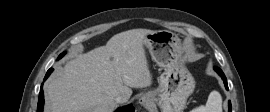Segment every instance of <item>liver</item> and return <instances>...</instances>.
<instances>
[{
	"label": "liver",
	"instance_id": "6515ba94",
	"mask_svg": "<svg viewBox=\"0 0 270 112\" xmlns=\"http://www.w3.org/2000/svg\"><path fill=\"white\" fill-rule=\"evenodd\" d=\"M151 32L124 31L105 46L76 55L46 85V112H113L117 95L128 101L131 88L151 86L144 49Z\"/></svg>",
	"mask_w": 270,
	"mask_h": 112
}]
</instances>
